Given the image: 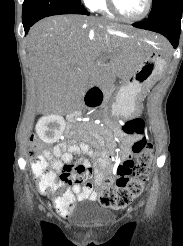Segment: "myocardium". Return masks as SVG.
Listing matches in <instances>:
<instances>
[{
	"label": "myocardium",
	"instance_id": "1",
	"mask_svg": "<svg viewBox=\"0 0 183 246\" xmlns=\"http://www.w3.org/2000/svg\"><path fill=\"white\" fill-rule=\"evenodd\" d=\"M106 1H107V5H108V8L110 9V11L117 18H119L122 21H126V22H138V21H141L142 19H144L149 14V12L151 11V7H152V3H153V0H146L145 9L140 15H138L136 17H127V16L123 15L121 13V11L119 10L117 3H116V0H106Z\"/></svg>",
	"mask_w": 183,
	"mask_h": 246
}]
</instances>
